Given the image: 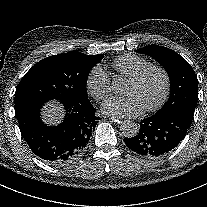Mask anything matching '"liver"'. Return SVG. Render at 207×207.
<instances>
[{
    "instance_id": "1",
    "label": "liver",
    "mask_w": 207,
    "mask_h": 207,
    "mask_svg": "<svg viewBox=\"0 0 207 207\" xmlns=\"http://www.w3.org/2000/svg\"><path fill=\"white\" fill-rule=\"evenodd\" d=\"M66 110L58 100L48 101L41 110L42 121L50 126H58L65 118Z\"/></svg>"
}]
</instances>
